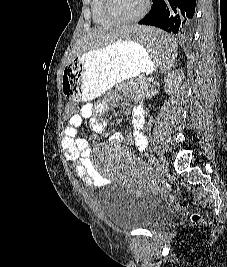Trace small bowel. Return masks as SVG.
Wrapping results in <instances>:
<instances>
[{"label":"small bowel","instance_id":"c3829d8e","mask_svg":"<svg viewBox=\"0 0 227 267\" xmlns=\"http://www.w3.org/2000/svg\"><path fill=\"white\" fill-rule=\"evenodd\" d=\"M105 111L104 103H85L81 106L77 116H71L62 136L64 156L73 163L74 171L79 180L88 188L96 189L104 183L103 175L98 171L90 157L88 141L80 134L79 127L84 120H89L90 129L95 133H103L107 128V121L100 116ZM145 118L141 109L132 112V134L127 140L137 150H145L148 140L144 133ZM120 134L112 136L113 141H120Z\"/></svg>","mask_w":227,"mask_h":267}]
</instances>
